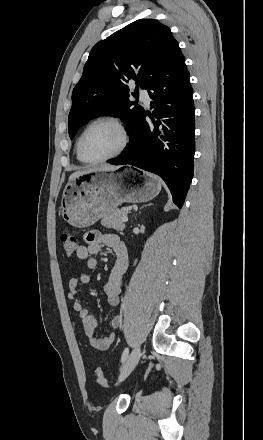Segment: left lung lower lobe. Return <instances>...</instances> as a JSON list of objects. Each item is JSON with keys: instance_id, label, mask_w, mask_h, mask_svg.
I'll use <instances>...</instances> for the list:
<instances>
[{"instance_id": "0a47b994", "label": "left lung lower lobe", "mask_w": 263, "mask_h": 440, "mask_svg": "<svg viewBox=\"0 0 263 440\" xmlns=\"http://www.w3.org/2000/svg\"><path fill=\"white\" fill-rule=\"evenodd\" d=\"M189 72L179 45L173 49L155 79L146 88L153 108L129 130L131 142L113 165L129 164L159 175L169 187L173 202L182 208L193 178L194 103Z\"/></svg>"}]
</instances>
